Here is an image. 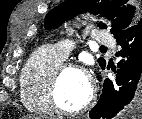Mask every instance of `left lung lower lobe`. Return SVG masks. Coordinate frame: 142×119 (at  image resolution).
Returning a JSON list of instances; mask_svg holds the SVG:
<instances>
[{
    "label": "left lung lower lobe",
    "instance_id": "obj_1",
    "mask_svg": "<svg viewBox=\"0 0 142 119\" xmlns=\"http://www.w3.org/2000/svg\"><path fill=\"white\" fill-rule=\"evenodd\" d=\"M122 46L116 84L105 79L102 95L90 111L92 119H113L125 111L139 115L142 111V19L115 36Z\"/></svg>",
    "mask_w": 142,
    "mask_h": 119
}]
</instances>
